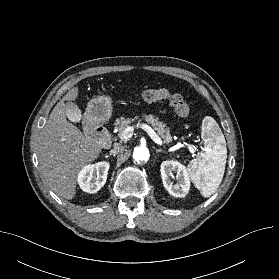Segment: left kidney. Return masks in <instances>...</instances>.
<instances>
[{
	"label": "left kidney",
	"mask_w": 279,
	"mask_h": 279,
	"mask_svg": "<svg viewBox=\"0 0 279 279\" xmlns=\"http://www.w3.org/2000/svg\"><path fill=\"white\" fill-rule=\"evenodd\" d=\"M161 177L166 190L174 197H185L190 189V176L186 167L178 161L168 160L161 164ZM176 173L177 184L173 185L171 177Z\"/></svg>",
	"instance_id": "left-kidney-1"
}]
</instances>
